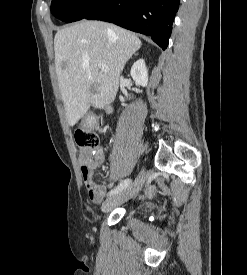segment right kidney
Wrapping results in <instances>:
<instances>
[{"label":"right kidney","mask_w":247,"mask_h":275,"mask_svg":"<svg viewBox=\"0 0 247 275\" xmlns=\"http://www.w3.org/2000/svg\"><path fill=\"white\" fill-rule=\"evenodd\" d=\"M131 77L140 86L146 87L148 84V71L143 59L137 60L131 68Z\"/></svg>","instance_id":"1"}]
</instances>
